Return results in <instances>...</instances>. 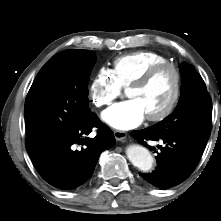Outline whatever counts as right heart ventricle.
I'll list each match as a JSON object with an SVG mask.
<instances>
[{
  "label": "right heart ventricle",
  "instance_id": "obj_1",
  "mask_svg": "<svg viewBox=\"0 0 221 221\" xmlns=\"http://www.w3.org/2000/svg\"><path fill=\"white\" fill-rule=\"evenodd\" d=\"M168 59L153 51H136L116 57L110 73L121 88L128 87L151 66L167 62Z\"/></svg>",
  "mask_w": 221,
  "mask_h": 221
}]
</instances>
